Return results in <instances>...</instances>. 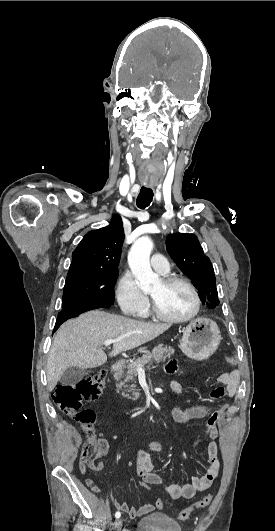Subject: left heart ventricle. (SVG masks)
Instances as JSON below:
<instances>
[{
  "instance_id": "left-heart-ventricle-1",
  "label": "left heart ventricle",
  "mask_w": 275,
  "mask_h": 531,
  "mask_svg": "<svg viewBox=\"0 0 275 531\" xmlns=\"http://www.w3.org/2000/svg\"><path fill=\"white\" fill-rule=\"evenodd\" d=\"M159 310L170 317H183L194 308L190 290L182 283L165 284L162 280L152 289Z\"/></svg>"
}]
</instances>
